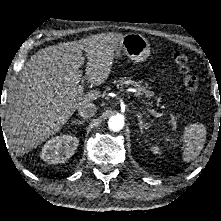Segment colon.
I'll list each match as a JSON object with an SVG mask.
<instances>
[{"label": "colon", "instance_id": "5ec220e1", "mask_svg": "<svg viewBox=\"0 0 221 221\" xmlns=\"http://www.w3.org/2000/svg\"><path fill=\"white\" fill-rule=\"evenodd\" d=\"M173 61L184 77L186 88L193 96L197 95L199 90V82L196 76L191 73L188 57L183 53H176L173 56Z\"/></svg>", "mask_w": 221, "mask_h": 221}]
</instances>
